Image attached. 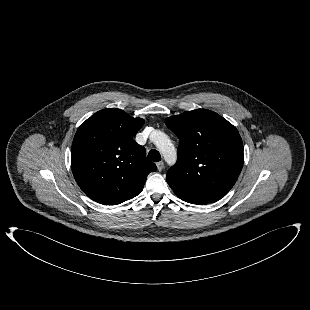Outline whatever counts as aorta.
Returning <instances> with one entry per match:
<instances>
[{
  "label": "aorta",
  "instance_id": "obj_1",
  "mask_svg": "<svg viewBox=\"0 0 310 310\" xmlns=\"http://www.w3.org/2000/svg\"><path fill=\"white\" fill-rule=\"evenodd\" d=\"M154 143L165 158L166 162L172 164L176 161V149L169 137L161 131L153 132Z\"/></svg>",
  "mask_w": 310,
  "mask_h": 310
}]
</instances>
